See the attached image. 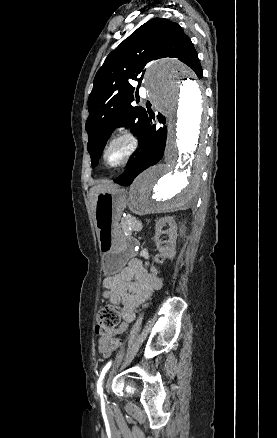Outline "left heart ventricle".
<instances>
[{"mask_svg": "<svg viewBox=\"0 0 277 438\" xmlns=\"http://www.w3.org/2000/svg\"><path fill=\"white\" fill-rule=\"evenodd\" d=\"M126 152V144L118 142L114 144L107 153V161L110 164L119 162Z\"/></svg>", "mask_w": 277, "mask_h": 438, "instance_id": "left-heart-ventricle-1", "label": "left heart ventricle"}]
</instances>
